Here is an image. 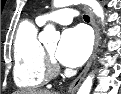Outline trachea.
<instances>
[{"label":"trachea","mask_w":121,"mask_h":94,"mask_svg":"<svg viewBox=\"0 0 121 94\" xmlns=\"http://www.w3.org/2000/svg\"><path fill=\"white\" fill-rule=\"evenodd\" d=\"M83 18H84L85 21H90V18H89L88 15H84Z\"/></svg>","instance_id":"trachea-1"}]
</instances>
